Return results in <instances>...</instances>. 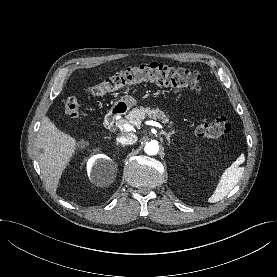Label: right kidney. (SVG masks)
Wrapping results in <instances>:
<instances>
[{
    "instance_id": "obj_1",
    "label": "right kidney",
    "mask_w": 277,
    "mask_h": 277,
    "mask_svg": "<svg viewBox=\"0 0 277 277\" xmlns=\"http://www.w3.org/2000/svg\"><path fill=\"white\" fill-rule=\"evenodd\" d=\"M109 161H110L109 158L105 155H97L94 158H91L89 163H88L89 175L93 171V168L97 166V164H105V163H109ZM95 180L98 184L104 183L101 174H97L96 177H95Z\"/></svg>"
}]
</instances>
